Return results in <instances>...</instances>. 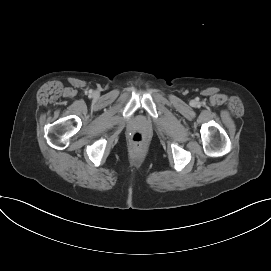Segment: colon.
Segmentation results:
<instances>
[{
	"mask_svg": "<svg viewBox=\"0 0 271 271\" xmlns=\"http://www.w3.org/2000/svg\"><path fill=\"white\" fill-rule=\"evenodd\" d=\"M143 141H144V137H143V135L140 132H135L132 135V142L135 145H141L143 143Z\"/></svg>",
	"mask_w": 271,
	"mask_h": 271,
	"instance_id": "obj_1",
	"label": "colon"
}]
</instances>
